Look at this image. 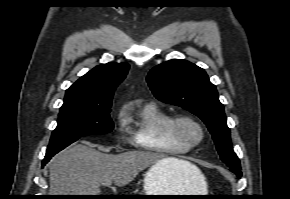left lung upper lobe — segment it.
Returning a JSON list of instances; mask_svg holds the SVG:
<instances>
[{
  "instance_id": "1",
  "label": "left lung upper lobe",
  "mask_w": 290,
  "mask_h": 199,
  "mask_svg": "<svg viewBox=\"0 0 290 199\" xmlns=\"http://www.w3.org/2000/svg\"><path fill=\"white\" fill-rule=\"evenodd\" d=\"M147 82L158 100L180 106L201 118L212 134L222 161L230 168H241L232 149L223 105L204 69L173 59L154 67Z\"/></svg>"
}]
</instances>
